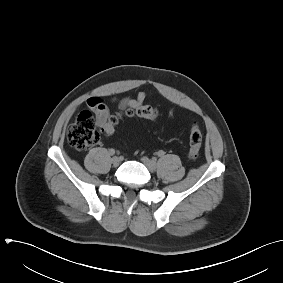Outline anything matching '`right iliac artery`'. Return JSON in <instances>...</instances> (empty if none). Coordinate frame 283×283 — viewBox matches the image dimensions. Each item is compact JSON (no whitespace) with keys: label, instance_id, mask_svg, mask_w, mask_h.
Returning <instances> with one entry per match:
<instances>
[{"label":"right iliac artery","instance_id":"obj_1","mask_svg":"<svg viewBox=\"0 0 283 283\" xmlns=\"http://www.w3.org/2000/svg\"><path fill=\"white\" fill-rule=\"evenodd\" d=\"M109 154H110V155H114V154H115V149L111 148V149L109 150Z\"/></svg>","mask_w":283,"mask_h":283}]
</instances>
